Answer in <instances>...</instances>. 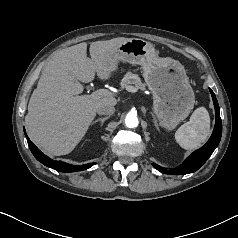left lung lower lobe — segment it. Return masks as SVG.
Returning a JSON list of instances; mask_svg holds the SVG:
<instances>
[{
  "label": "left lung lower lobe",
  "instance_id": "obj_1",
  "mask_svg": "<svg viewBox=\"0 0 238 238\" xmlns=\"http://www.w3.org/2000/svg\"><path fill=\"white\" fill-rule=\"evenodd\" d=\"M209 90L213 98L216 114L215 127L210 139L203 147L193 152L177 169L167 170L166 168L153 164V166L160 172L179 175L195 172L207 161V159L211 156L215 148L218 146L222 135V122L220 118V109L214 92L210 88Z\"/></svg>",
  "mask_w": 238,
  "mask_h": 238
}]
</instances>
